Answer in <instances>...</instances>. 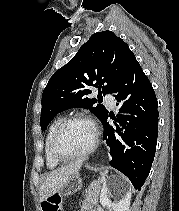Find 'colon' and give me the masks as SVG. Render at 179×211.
<instances>
[{"label":"colon","mask_w":179,"mask_h":211,"mask_svg":"<svg viewBox=\"0 0 179 211\" xmlns=\"http://www.w3.org/2000/svg\"><path fill=\"white\" fill-rule=\"evenodd\" d=\"M41 206L43 211H62V200L60 195L55 194L49 196L41 203Z\"/></svg>","instance_id":"obj_1"}]
</instances>
